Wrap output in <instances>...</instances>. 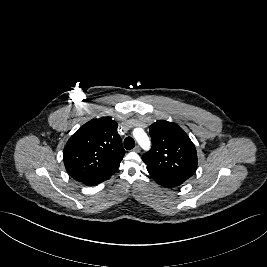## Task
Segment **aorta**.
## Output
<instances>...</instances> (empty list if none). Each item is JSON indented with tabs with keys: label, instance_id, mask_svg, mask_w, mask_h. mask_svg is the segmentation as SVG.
Wrapping results in <instances>:
<instances>
[{
	"label": "aorta",
	"instance_id": "obj_1",
	"mask_svg": "<svg viewBox=\"0 0 267 267\" xmlns=\"http://www.w3.org/2000/svg\"><path fill=\"white\" fill-rule=\"evenodd\" d=\"M133 135L139 145L144 149V150H149L150 149V140L147 136V134L140 128H137L134 130Z\"/></svg>",
	"mask_w": 267,
	"mask_h": 267
}]
</instances>
